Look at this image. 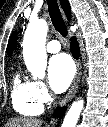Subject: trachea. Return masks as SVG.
<instances>
[{"label":"trachea","mask_w":108,"mask_h":127,"mask_svg":"<svg viewBox=\"0 0 108 127\" xmlns=\"http://www.w3.org/2000/svg\"><path fill=\"white\" fill-rule=\"evenodd\" d=\"M48 11L55 29L63 36H67V28L61 16V12L56 0H47Z\"/></svg>","instance_id":"obj_1"}]
</instances>
